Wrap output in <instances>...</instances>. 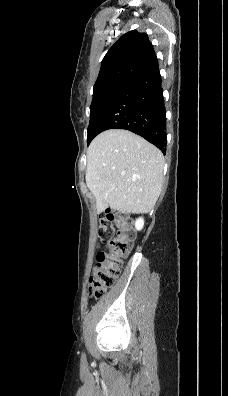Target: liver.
<instances>
[{
    "label": "liver",
    "instance_id": "1",
    "mask_svg": "<svg viewBox=\"0 0 228 396\" xmlns=\"http://www.w3.org/2000/svg\"><path fill=\"white\" fill-rule=\"evenodd\" d=\"M164 156L144 138L113 129L96 136L87 150L86 184L97 212L107 207L148 213L163 185Z\"/></svg>",
    "mask_w": 228,
    "mask_h": 396
}]
</instances>
